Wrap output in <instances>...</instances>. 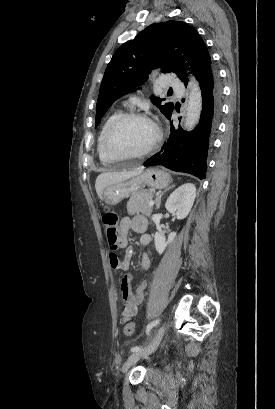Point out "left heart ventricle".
I'll return each instance as SVG.
<instances>
[{"label":"left heart ventricle","instance_id":"left-heart-ventricle-1","mask_svg":"<svg viewBox=\"0 0 275 409\" xmlns=\"http://www.w3.org/2000/svg\"><path fill=\"white\" fill-rule=\"evenodd\" d=\"M152 136V128L141 120H127L114 131L108 153L119 156L146 146Z\"/></svg>","mask_w":275,"mask_h":409}]
</instances>
